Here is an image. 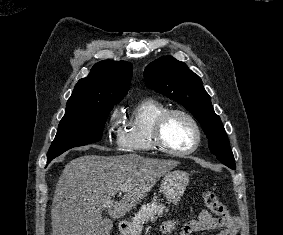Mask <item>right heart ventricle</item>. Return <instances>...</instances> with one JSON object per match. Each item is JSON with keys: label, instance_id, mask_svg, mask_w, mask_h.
Returning a JSON list of instances; mask_svg holds the SVG:
<instances>
[{"label": "right heart ventricle", "instance_id": "e07e8e85", "mask_svg": "<svg viewBox=\"0 0 283 235\" xmlns=\"http://www.w3.org/2000/svg\"><path fill=\"white\" fill-rule=\"evenodd\" d=\"M166 110L168 107L158 99L145 98L138 101L129 111L127 121L119 133V146L127 152H153L156 147L152 129L156 119Z\"/></svg>", "mask_w": 283, "mask_h": 235}]
</instances>
